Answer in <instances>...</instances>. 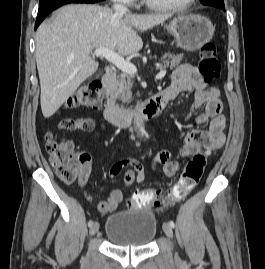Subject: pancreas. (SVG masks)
I'll list each match as a JSON object with an SVG mask.
<instances>
[{
    "instance_id": "cf45deb5",
    "label": "pancreas",
    "mask_w": 265,
    "mask_h": 269,
    "mask_svg": "<svg viewBox=\"0 0 265 269\" xmlns=\"http://www.w3.org/2000/svg\"><path fill=\"white\" fill-rule=\"evenodd\" d=\"M183 59V54L178 55H172V54H165L161 61L162 63L157 64L158 69H164L167 67H170V69H173L177 67L180 62ZM133 84L131 81V77L123 73L120 76H118V79L115 81V95L122 101V102H130L132 98V88Z\"/></svg>"
}]
</instances>
